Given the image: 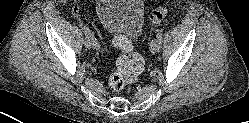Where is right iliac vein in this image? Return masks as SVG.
Wrapping results in <instances>:
<instances>
[{
  "label": "right iliac vein",
  "mask_w": 249,
  "mask_h": 123,
  "mask_svg": "<svg viewBox=\"0 0 249 123\" xmlns=\"http://www.w3.org/2000/svg\"><path fill=\"white\" fill-rule=\"evenodd\" d=\"M84 46L87 48V49H90L91 46H92V43H91V40L89 37L86 36V38L84 39Z\"/></svg>",
  "instance_id": "right-iliac-vein-1"
}]
</instances>
